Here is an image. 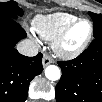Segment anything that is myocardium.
I'll use <instances>...</instances> for the list:
<instances>
[{"instance_id":"obj_1","label":"myocardium","mask_w":102,"mask_h":102,"mask_svg":"<svg viewBox=\"0 0 102 102\" xmlns=\"http://www.w3.org/2000/svg\"><path fill=\"white\" fill-rule=\"evenodd\" d=\"M79 23H86L87 28H88V34L86 38L74 49L72 50H66L64 48L65 42L68 40L71 32L73 29L76 27L77 24ZM91 39V25L90 22L87 21L86 19H77L74 21L72 24H70L64 31H62L53 41H52V48L53 51L61 58L70 60L78 55H80L87 45L89 44Z\"/></svg>"}]
</instances>
